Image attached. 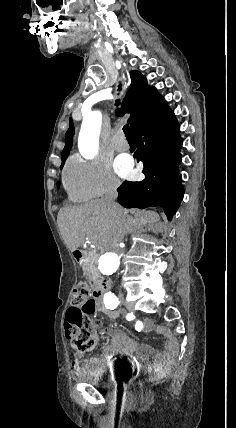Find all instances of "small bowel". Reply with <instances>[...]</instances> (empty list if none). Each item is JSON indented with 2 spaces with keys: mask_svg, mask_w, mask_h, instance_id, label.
<instances>
[{
  "mask_svg": "<svg viewBox=\"0 0 236 428\" xmlns=\"http://www.w3.org/2000/svg\"><path fill=\"white\" fill-rule=\"evenodd\" d=\"M98 308L112 319H116L122 315V313L106 309L103 303H98ZM130 320L134 321L138 331L151 332L155 329L164 339V351L159 352L146 344H140L122 330L109 328L105 332L111 337V342L103 349L104 360H113L116 356L128 355L131 357L132 363L136 366L147 363L149 368L156 371H163L178 352V345L175 338L167 328L157 326L150 320L140 321L135 319V317H131ZM95 363H97L95 360H84L83 354L78 353L74 358L72 366L75 371H78L83 366Z\"/></svg>",
  "mask_w": 236,
  "mask_h": 428,
  "instance_id": "1",
  "label": "small bowel"
}]
</instances>
